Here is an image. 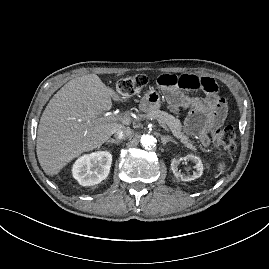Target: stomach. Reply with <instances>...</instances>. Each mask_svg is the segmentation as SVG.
<instances>
[{
    "mask_svg": "<svg viewBox=\"0 0 269 269\" xmlns=\"http://www.w3.org/2000/svg\"><path fill=\"white\" fill-rule=\"evenodd\" d=\"M161 106V96L159 92L154 89L149 90L145 93L144 97L140 102V109L144 112H151L159 109Z\"/></svg>",
    "mask_w": 269,
    "mask_h": 269,
    "instance_id": "stomach-1",
    "label": "stomach"
}]
</instances>
